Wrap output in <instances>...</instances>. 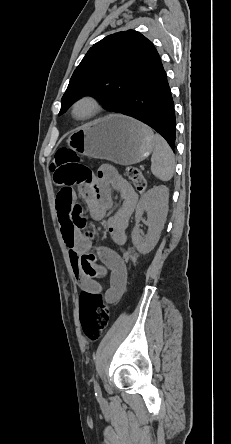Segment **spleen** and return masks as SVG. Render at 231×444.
Returning a JSON list of instances; mask_svg holds the SVG:
<instances>
[{"instance_id": "1", "label": "spleen", "mask_w": 231, "mask_h": 444, "mask_svg": "<svg viewBox=\"0 0 231 444\" xmlns=\"http://www.w3.org/2000/svg\"><path fill=\"white\" fill-rule=\"evenodd\" d=\"M155 147L151 157V172L162 181L172 178L175 170V157L164 138L154 135Z\"/></svg>"}]
</instances>
